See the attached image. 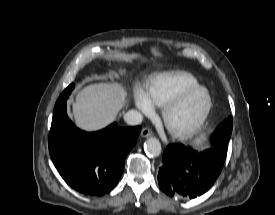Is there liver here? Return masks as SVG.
I'll list each match as a JSON object with an SVG mask.
<instances>
[{"mask_svg": "<svg viewBox=\"0 0 275 215\" xmlns=\"http://www.w3.org/2000/svg\"><path fill=\"white\" fill-rule=\"evenodd\" d=\"M128 93L119 83H96L78 92L72 104L76 125L95 131L109 125L127 102Z\"/></svg>", "mask_w": 275, "mask_h": 215, "instance_id": "liver-1", "label": "liver"}]
</instances>
